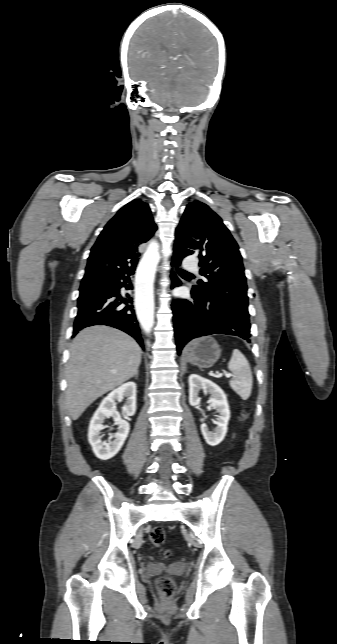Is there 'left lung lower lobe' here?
I'll return each mask as SVG.
<instances>
[{"instance_id": "obj_1", "label": "left lung lower lobe", "mask_w": 337, "mask_h": 644, "mask_svg": "<svg viewBox=\"0 0 337 644\" xmlns=\"http://www.w3.org/2000/svg\"><path fill=\"white\" fill-rule=\"evenodd\" d=\"M180 262L173 258L172 264L178 266ZM172 277V287L179 286L180 280L174 274ZM191 294L194 302L179 299L172 304L179 354L190 340L211 334L234 335L247 342L251 341L249 320L218 299L201 298L193 292Z\"/></svg>"}]
</instances>
